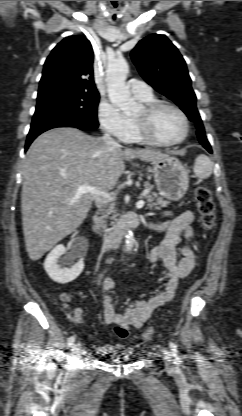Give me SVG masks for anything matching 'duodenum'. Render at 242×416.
<instances>
[{
  "label": "duodenum",
  "instance_id": "obj_1",
  "mask_svg": "<svg viewBox=\"0 0 242 416\" xmlns=\"http://www.w3.org/2000/svg\"><path fill=\"white\" fill-rule=\"evenodd\" d=\"M141 220L135 215L126 216L118 225L114 227L108 238L104 242V247L112 251L114 250L118 243L120 242L123 235L129 230L140 225Z\"/></svg>",
  "mask_w": 242,
  "mask_h": 416
}]
</instances>
